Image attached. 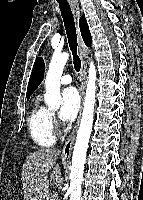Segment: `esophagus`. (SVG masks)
I'll return each instance as SVG.
<instances>
[{
  "mask_svg": "<svg viewBox=\"0 0 143 200\" xmlns=\"http://www.w3.org/2000/svg\"><path fill=\"white\" fill-rule=\"evenodd\" d=\"M73 12L75 13L76 19L78 20L81 16V9L78 4L72 3L71 4ZM77 35H78V46H79V54H80V59H81V71H80V86H79V91L81 95V100H82V105L80 109V113L78 116V119L76 121V124L70 133L69 137L67 138L65 145L62 150V158L63 160H69L71 157V152L73 149V144L75 141L76 133L79 127L80 123V118H81V112H82V107H83V101H84V95H85V86H86V69H87V64L85 61V55L87 53V47L81 37L80 30L77 27Z\"/></svg>",
  "mask_w": 143,
  "mask_h": 200,
  "instance_id": "34e87169",
  "label": "esophagus"
}]
</instances>
